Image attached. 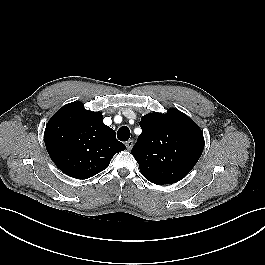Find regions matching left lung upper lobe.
<instances>
[{
  "instance_id": "obj_1",
  "label": "left lung upper lobe",
  "mask_w": 265,
  "mask_h": 265,
  "mask_svg": "<svg viewBox=\"0 0 265 265\" xmlns=\"http://www.w3.org/2000/svg\"><path fill=\"white\" fill-rule=\"evenodd\" d=\"M142 133L132 148L141 174L156 185L173 184L198 162L204 137L199 126L177 109L141 118Z\"/></svg>"
}]
</instances>
